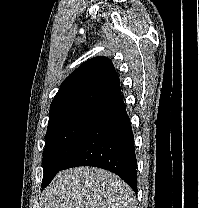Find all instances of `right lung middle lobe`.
<instances>
[{
	"label": "right lung middle lobe",
	"mask_w": 199,
	"mask_h": 208,
	"mask_svg": "<svg viewBox=\"0 0 199 208\" xmlns=\"http://www.w3.org/2000/svg\"><path fill=\"white\" fill-rule=\"evenodd\" d=\"M99 110V107L77 108L49 118L43 154L42 182L57 174Z\"/></svg>",
	"instance_id": "obj_1"
}]
</instances>
